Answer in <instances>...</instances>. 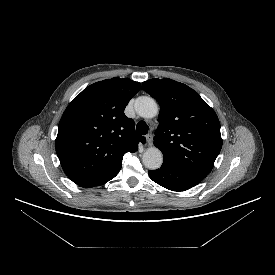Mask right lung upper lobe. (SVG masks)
Segmentation results:
<instances>
[{
  "label": "right lung upper lobe",
  "instance_id": "cb5924a9",
  "mask_svg": "<svg viewBox=\"0 0 275 275\" xmlns=\"http://www.w3.org/2000/svg\"><path fill=\"white\" fill-rule=\"evenodd\" d=\"M141 84L112 78L85 88L66 108L58 126L56 153L77 185H102L117 175L123 155L136 152L145 138L124 114Z\"/></svg>",
  "mask_w": 275,
  "mask_h": 275
}]
</instances>
